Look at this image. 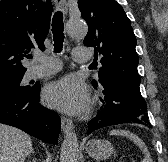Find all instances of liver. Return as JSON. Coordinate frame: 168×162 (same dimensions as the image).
I'll return each mask as SVG.
<instances>
[{
	"mask_svg": "<svg viewBox=\"0 0 168 162\" xmlns=\"http://www.w3.org/2000/svg\"><path fill=\"white\" fill-rule=\"evenodd\" d=\"M32 141L23 131L0 123V162H25Z\"/></svg>",
	"mask_w": 168,
	"mask_h": 162,
	"instance_id": "liver-1",
	"label": "liver"
}]
</instances>
